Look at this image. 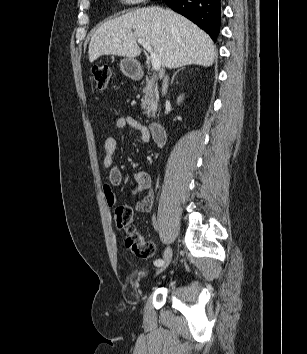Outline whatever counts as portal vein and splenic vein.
<instances>
[{"instance_id": "1", "label": "portal vein and splenic vein", "mask_w": 307, "mask_h": 354, "mask_svg": "<svg viewBox=\"0 0 307 354\" xmlns=\"http://www.w3.org/2000/svg\"><path fill=\"white\" fill-rule=\"evenodd\" d=\"M137 41L146 51L150 53L152 68L158 71L161 67L159 56L153 52L152 47L144 39L139 38Z\"/></svg>"}]
</instances>
